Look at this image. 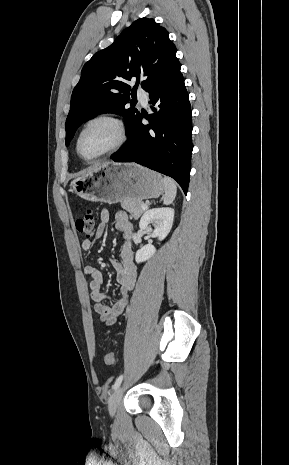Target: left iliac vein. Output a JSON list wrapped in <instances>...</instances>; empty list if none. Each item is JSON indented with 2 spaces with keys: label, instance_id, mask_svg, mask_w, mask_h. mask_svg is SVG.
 <instances>
[{
  "label": "left iliac vein",
  "instance_id": "4c4485c4",
  "mask_svg": "<svg viewBox=\"0 0 289 465\" xmlns=\"http://www.w3.org/2000/svg\"><path fill=\"white\" fill-rule=\"evenodd\" d=\"M123 392H124V387L120 386L111 395L110 401H109V413L111 416L115 415L117 408L119 406V403L121 401V398L123 396Z\"/></svg>",
  "mask_w": 289,
  "mask_h": 465
}]
</instances>
